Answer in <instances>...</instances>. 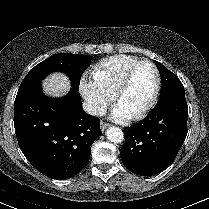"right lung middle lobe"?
I'll return each instance as SVG.
<instances>
[{"mask_svg":"<svg viewBox=\"0 0 209 209\" xmlns=\"http://www.w3.org/2000/svg\"><path fill=\"white\" fill-rule=\"evenodd\" d=\"M92 57L89 55H78L71 53L55 54L43 62L37 64L24 78L19 90L22 91L28 86L41 82L51 72L61 71L71 79V85L79 89L82 73L90 65Z\"/></svg>","mask_w":209,"mask_h":209,"instance_id":"obj_1","label":"right lung middle lobe"}]
</instances>
